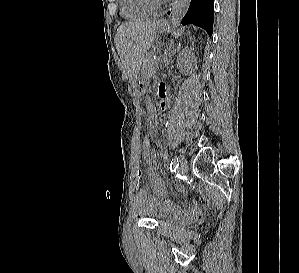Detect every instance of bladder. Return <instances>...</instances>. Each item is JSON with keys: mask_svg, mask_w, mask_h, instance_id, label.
Listing matches in <instances>:
<instances>
[{"mask_svg": "<svg viewBox=\"0 0 299 273\" xmlns=\"http://www.w3.org/2000/svg\"><path fill=\"white\" fill-rule=\"evenodd\" d=\"M140 211L142 212L143 217L152 219L159 224L174 225L180 221L176 217L166 216V215L162 214L161 212L157 211L152 206H149L148 208H146L144 210H140Z\"/></svg>", "mask_w": 299, "mask_h": 273, "instance_id": "bladder-1", "label": "bladder"}]
</instances>
